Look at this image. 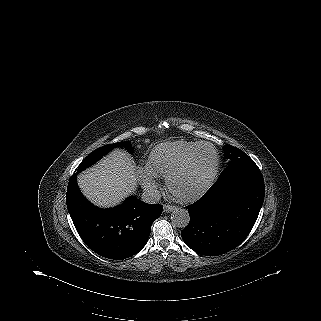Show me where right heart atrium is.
Segmentation results:
<instances>
[{"mask_svg": "<svg viewBox=\"0 0 321 321\" xmlns=\"http://www.w3.org/2000/svg\"><path fill=\"white\" fill-rule=\"evenodd\" d=\"M138 174L140 176L142 185L145 189L149 191L156 190L158 184L156 181V176H154L148 169L147 164H141L138 166Z\"/></svg>", "mask_w": 321, "mask_h": 321, "instance_id": "d8ad5b80", "label": "right heart atrium"}]
</instances>
